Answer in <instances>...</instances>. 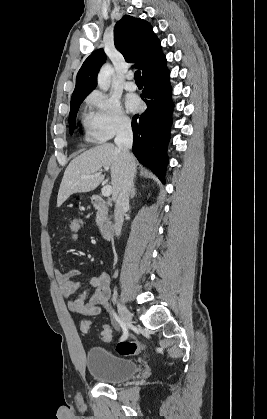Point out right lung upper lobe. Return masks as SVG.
I'll use <instances>...</instances> for the list:
<instances>
[{
	"mask_svg": "<svg viewBox=\"0 0 267 419\" xmlns=\"http://www.w3.org/2000/svg\"><path fill=\"white\" fill-rule=\"evenodd\" d=\"M114 44L126 62H135L142 75L166 61L159 39L145 20L123 16L114 28ZM106 61L103 49L94 51L83 63L76 77L72 98L87 96L97 85V73Z\"/></svg>",
	"mask_w": 267,
	"mask_h": 419,
	"instance_id": "right-lung-upper-lobe-1",
	"label": "right lung upper lobe"
}]
</instances>
